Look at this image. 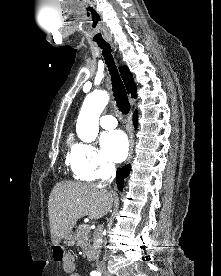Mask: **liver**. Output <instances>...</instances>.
<instances>
[{
    "label": "liver",
    "mask_w": 221,
    "mask_h": 276,
    "mask_svg": "<svg viewBox=\"0 0 221 276\" xmlns=\"http://www.w3.org/2000/svg\"><path fill=\"white\" fill-rule=\"evenodd\" d=\"M113 193L94 183L60 182L52 189L48 215L52 244H59L78 219H100L111 208Z\"/></svg>",
    "instance_id": "1"
}]
</instances>
